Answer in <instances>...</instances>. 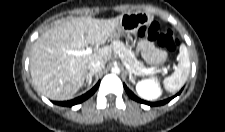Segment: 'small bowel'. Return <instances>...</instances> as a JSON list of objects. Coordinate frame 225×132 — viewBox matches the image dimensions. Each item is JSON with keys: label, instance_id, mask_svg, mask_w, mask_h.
<instances>
[{"label": "small bowel", "instance_id": "1", "mask_svg": "<svg viewBox=\"0 0 225 132\" xmlns=\"http://www.w3.org/2000/svg\"><path fill=\"white\" fill-rule=\"evenodd\" d=\"M137 51L149 65H160L165 60V53L146 40L138 43Z\"/></svg>", "mask_w": 225, "mask_h": 132}]
</instances>
